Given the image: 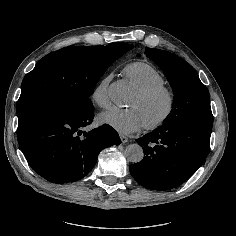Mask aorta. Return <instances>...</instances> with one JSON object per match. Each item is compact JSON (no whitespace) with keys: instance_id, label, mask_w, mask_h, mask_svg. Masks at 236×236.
<instances>
[{"instance_id":"762f6f07","label":"aorta","mask_w":236,"mask_h":236,"mask_svg":"<svg viewBox=\"0 0 236 236\" xmlns=\"http://www.w3.org/2000/svg\"><path fill=\"white\" fill-rule=\"evenodd\" d=\"M114 100H116L117 102H121L122 98L121 96H115ZM125 156L128 161L132 163H138L142 161L144 157V152H143L142 147L139 144L133 143L126 147Z\"/></svg>"}]
</instances>
